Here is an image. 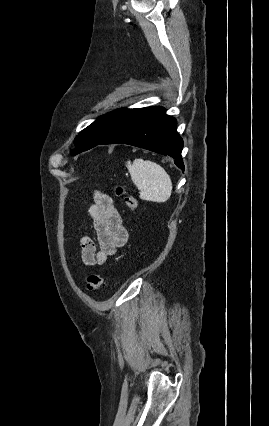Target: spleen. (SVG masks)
I'll use <instances>...</instances> for the list:
<instances>
[{"label": "spleen", "instance_id": "1", "mask_svg": "<svg viewBox=\"0 0 269 426\" xmlns=\"http://www.w3.org/2000/svg\"><path fill=\"white\" fill-rule=\"evenodd\" d=\"M126 167L133 184L139 189L142 200L163 203L172 193V181L167 172L157 163L141 158L127 161Z\"/></svg>", "mask_w": 269, "mask_h": 426}]
</instances>
